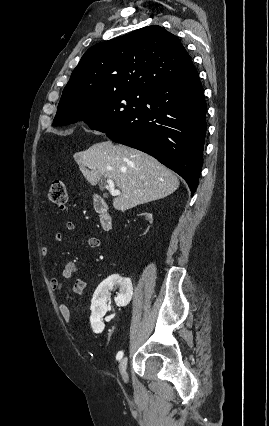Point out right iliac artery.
Segmentation results:
<instances>
[{"mask_svg":"<svg viewBox=\"0 0 269 426\" xmlns=\"http://www.w3.org/2000/svg\"><path fill=\"white\" fill-rule=\"evenodd\" d=\"M122 356H123V351H119L116 355V359L120 360L122 358Z\"/></svg>","mask_w":269,"mask_h":426,"instance_id":"82829eb1","label":"right iliac artery"}]
</instances>
